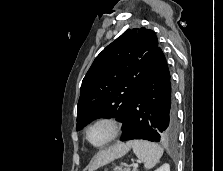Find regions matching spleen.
<instances>
[{
  "instance_id": "obj_1",
  "label": "spleen",
  "mask_w": 223,
  "mask_h": 171,
  "mask_svg": "<svg viewBox=\"0 0 223 171\" xmlns=\"http://www.w3.org/2000/svg\"><path fill=\"white\" fill-rule=\"evenodd\" d=\"M134 154L141 160L146 169L153 168L163 155V148L156 143L145 140H133L129 142Z\"/></svg>"
}]
</instances>
